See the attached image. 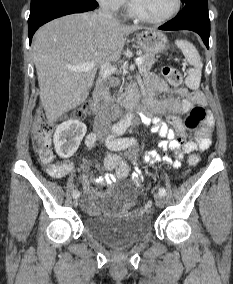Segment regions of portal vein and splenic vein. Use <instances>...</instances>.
<instances>
[{"mask_svg": "<svg viewBox=\"0 0 233 284\" xmlns=\"http://www.w3.org/2000/svg\"><path fill=\"white\" fill-rule=\"evenodd\" d=\"M142 62H143L142 57H138V58L135 59V63L137 65H140ZM94 67H95V62L91 61V62L79 64V65L69 66V69L72 70V71L88 72V71L92 70Z\"/></svg>", "mask_w": 233, "mask_h": 284, "instance_id": "portal-vein-and-splenic-vein-1", "label": "portal vein and splenic vein"}]
</instances>
